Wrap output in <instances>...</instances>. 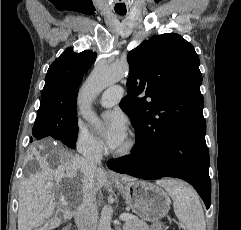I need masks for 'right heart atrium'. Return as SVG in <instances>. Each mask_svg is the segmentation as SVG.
<instances>
[{"label":"right heart atrium","mask_w":241,"mask_h":230,"mask_svg":"<svg viewBox=\"0 0 241 230\" xmlns=\"http://www.w3.org/2000/svg\"><path fill=\"white\" fill-rule=\"evenodd\" d=\"M77 151L87 157L98 156L103 151L102 142L82 126H78L75 134Z\"/></svg>","instance_id":"obj_1"}]
</instances>
